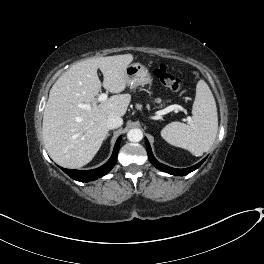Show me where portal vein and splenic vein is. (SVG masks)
<instances>
[{"instance_id": "obj_1", "label": "portal vein and splenic vein", "mask_w": 264, "mask_h": 264, "mask_svg": "<svg viewBox=\"0 0 264 264\" xmlns=\"http://www.w3.org/2000/svg\"><path fill=\"white\" fill-rule=\"evenodd\" d=\"M108 98V95L106 93H101L99 96H98V102H103L105 100H107ZM79 107L81 108H90L89 105L87 104H80ZM175 111V112H178V111H182L184 110L180 105H171L161 111L158 112V115H165L171 111ZM187 122L190 123L191 122V117H187Z\"/></svg>"}]
</instances>
